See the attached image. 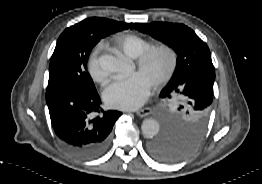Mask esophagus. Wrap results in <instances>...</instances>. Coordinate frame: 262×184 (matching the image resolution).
<instances>
[{
    "mask_svg": "<svg viewBox=\"0 0 262 184\" xmlns=\"http://www.w3.org/2000/svg\"><path fill=\"white\" fill-rule=\"evenodd\" d=\"M151 112H152V109H151V108H143V109H141V110H138V111L136 112V114H137L139 117H145V116L151 114Z\"/></svg>",
    "mask_w": 262,
    "mask_h": 184,
    "instance_id": "34e87169",
    "label": "esophagus"
}]
</instances>
